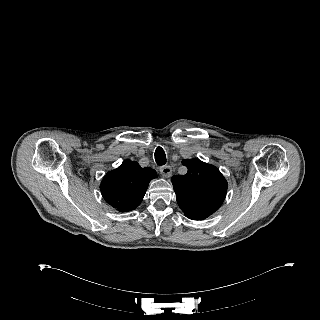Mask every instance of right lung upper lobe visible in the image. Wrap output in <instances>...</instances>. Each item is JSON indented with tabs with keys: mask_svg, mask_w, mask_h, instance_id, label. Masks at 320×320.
Returning <instances> with one entry per match:
<instances>
[{
	"mask_svg": "<svg viewBox=\"0 0 320 320\" xmlns=\"http://www.w3.org/2000/svg\"><path fill=\"white\" fill-rule=\"evenodd\" d=\"M157 177L155 170L141 168L137 162L125 160L103 179L100 189L105 201L120 212L138 207L149 182Z\"/></svg>",
	"mask_w": 320,
	"mask_h": 320,
	"instance_id": "cb5924a9",
	"label": "right lung upper lobe"
}]
</instances>
